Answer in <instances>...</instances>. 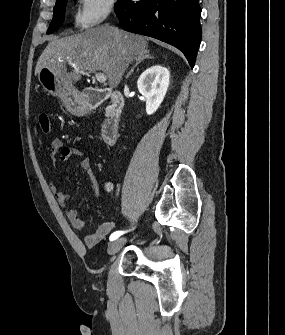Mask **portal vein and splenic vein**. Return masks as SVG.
<instances>
[{"label": "portal vein and splenic vein", "mask_w": 285, "mask_h": 335, "mask_svg": "<svg viewBox=\"0 0 285 335\" xmlns=\"http://www.w3.org/2000/svg\"><path fill=\"white\" fill-rule=\"evenodd\" d=\"M97 82H106L107 78L105 74H95Z\"/></svg>", "instance_id": "18ae733b"}]
</instances>
